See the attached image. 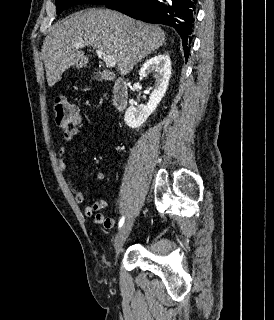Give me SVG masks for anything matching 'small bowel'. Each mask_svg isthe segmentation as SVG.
Wrapping results in <instances>:
<instances>
[{
	"mask_svg": "<svg viewBox=\"0 0 274 320\" xmlns=\"http://www.w3.org/2000/svg\"><path fill=\"white\" fill-rule=\"evenodd\" d=\"M73 124V126L63 132V143L58 150V169L65 177L75 202L83 205V215L86 217H93L96 224H102L105 228H112L115 223L114 218L112 216H106L99 213L107 207L106 201L98 200L93 204H84L85 196L83 192L80 191L69 179L68 166L65 160L68 144L81 132L85 123L83 119H74ZM96 150H98V148H96ZM105 176V172L100 171L94 176L93 180L100 181L103 180Z\"/></svg>",
	"mask_w": 274,
	"mask_h": 320,
	"instance_id": "small-bowel-1",
	"label": "small bowel"
}]
</instances>
